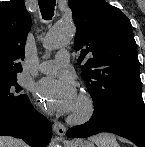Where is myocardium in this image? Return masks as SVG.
<instances>
[{"label": "myocardium", "instance_id": "obj_1", "mask_svg": "<svg viewBox=\"0 0 145 147\" xmlns=\"http://www.w3.org/2000/svg\"><path fill=\"white\" fill-rule=\"evenodd\" d=\"M78 102L79 108L73 110L68 118V121L72 124H84L88 122L96 111L95 101L88 93H81Z\"/></svg>", "mask_w": 145, "mask_h": 147}]
</instances>
